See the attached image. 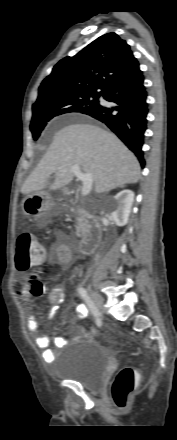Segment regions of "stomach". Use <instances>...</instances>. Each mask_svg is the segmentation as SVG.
Masks as SVG:
<instances>
[{
    "label": "stomach",
    "instance_id": "0dacf381",
    "mask_svg": "<svg viewBox=\"0 0 177 440\" xmlns=\"http://www.w3.org/2000/svg\"><path fill=\"white\" fill-rule=\"evenodd\" d=\"M23 213L36 220L48 219L59 213L58 205L42 191L27 195L22 201Z\"/></svg>",
    "mask_w": 177,
    "mask_h": 440
}]
</instances>
